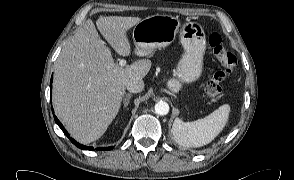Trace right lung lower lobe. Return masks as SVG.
I'll list each match as a JSON object with an SVG mask.
<instances>
[{
    "instance_id": "right-lung-lower-lobe-1",
    "label": "right lung lower lobe",
    "mask_w": 294,
    "mask_h": 180,
    "mask_svg": "<svg viewBox=\"0 0 294 180\" xmlns=\"http://www.w3.org/2000/svg\"><path fill=\"white\" fill-rule=\"evenodd\" d=\"M51 83H52V78H51V82H50V91H51V88H52ZM50 95H51V93H50ZM52 111H53V110H52ZM54 119H55L56 124L61 128V130L64 132V134H65V135L71 140V142H72L74 145H76L77 147H79V148H81V149H84V150H94L93 147H88V146H84V145H81V144L77 143L73 138H71V137L68 135L67 131L64 129V127L62 126V124L60 123V121L57 119L56 116H54ZM112 148H113V147H105V148H98V150H99V149H101V150H107V149H112Z\"/></svg>"
}]
</instances>
